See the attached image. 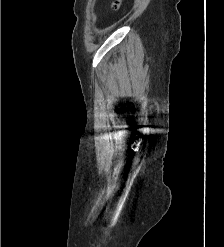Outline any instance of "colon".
<instances>
[{
	"instance_id": "5ec220e1",
	"label": "colon",
	"mask_w": 224,
	"mask_h": 247,
	"mask_svg": "<svg viewBox=\"0 0 224 247\" xmlns=\"http://www.w3.org/2000/svg\"><path fill=\"white\" fill-rule=\"evenodd\" d=\"M121 2H122V0H115V1L113 2V8H114V9L119 8L120 5H121Z\"/></svg>"
}]
</instances>
